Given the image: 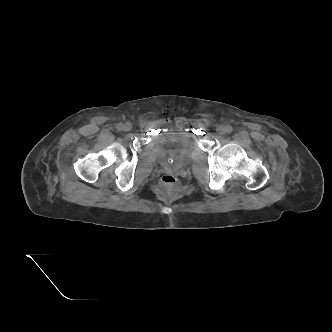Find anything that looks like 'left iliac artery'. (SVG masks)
Returning <instances> with one entry per match:
<instances>
[{"label": "left iliac artery", "instance_id": "44dca946", "mask_svg": "<svg viewBox=\"0 0 332 332\" xmlns=\"http://www.w3.org/2000/svg\"><path fill=\"white\" fill-rule=\"evenodd\" d=\"M232 131H233L232 126L227 125V126H226V132H227V133H231Z\"/></svg>", "mask_w": 332, "mask_h": 332}]
</instances>
